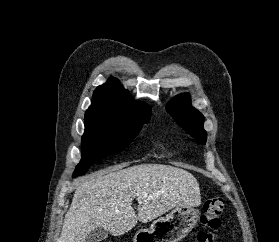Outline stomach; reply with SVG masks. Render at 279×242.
Masks as SVG:
<instances>
[{"label":"stomach","mask_w":279,"mask_h":242,"mask_svg":"<svg viewBox=\"0 0 279 242\" xmlns=\"http://www.w3.org/2000/svg\"><path fill=\"white\" fill-rule=\"evenodd\" d=\"M199 211L192 206H176L166 217L155 220L150 228L137 231L134 242H178L197 224Z\"/></svg>","instance_id":"0dacf381"}]
</instances>
